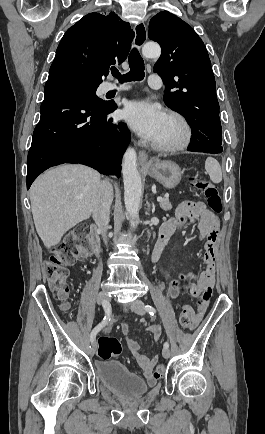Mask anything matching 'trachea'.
<instances>
[{
	"instance_id": "trachea-1",
	"label": "trachea",
	"mask_w": 265,
	"mask_h": 434,
	"mask_svg": "<svg viewBox=\"0 0 265 434\" xmlns=\"http://www.w3.org/2000/svg\"><path fill=\"white\" fill-rule=\"evenodd\" d=\"M129 66H130L129 73L125 75H121L117 69H112L111 70L112 75H114V77H116L121 83L127 81H135V80L141 81L144 79L145 76L144 61L141 55L139 54V51L136 48L132 49V51L130 52Z\"/></svg>"
}]
</instances>
